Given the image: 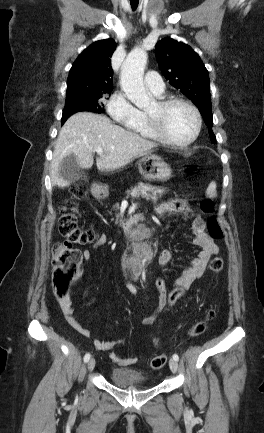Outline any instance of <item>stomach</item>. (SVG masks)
Segmentation results:
<instances>
[{
    "mask_svg": "<svg viewBox=\"0 0 264 433\" xmlns=\"http://www.w3.org/2000/svg\"><path fill=\"white\" fill-rule=\"evenodd\" d=\"M139 173L148 181H168L172 177V169L161 157L146 154L138 161ZM101 192L105 188L99 187Z\"/></svg>",
    "mask_w": 264,
    "mask_h": 433,
    "instance_id": "1",
    "label": "stomach"
}]
</instances>
